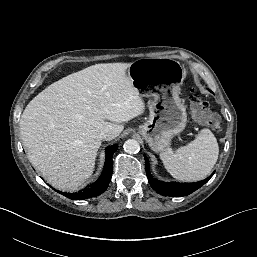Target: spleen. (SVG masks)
<instances>
[{
    "label": "spleen",
    "mask_w": 257,
    "mask_h": 257,
    "mask_svg": "<svg viewBox=\"0 0 257 257\" xmlns=\"http://www.w3.org/2000/svg\"><path fill=\"white\" fill-rule=\"evenodd\" d=\"M219 146L214 134L202 129L195 140L175 152L160 153L166 170L177 180L199 181L206 178L217 162Z\"/></svg>",
    "instance_id": "1"
}]
</instances>
